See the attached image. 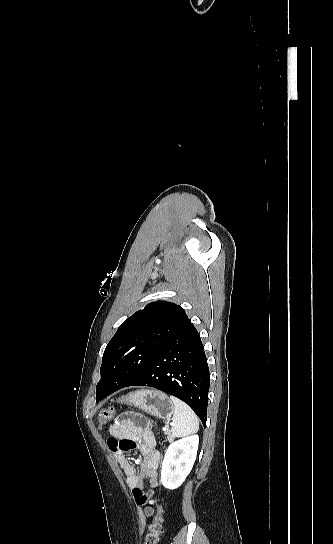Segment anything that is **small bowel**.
<instances>
[{
  "mask_svg": "<svg viewBox=\"0 0 333 544\" xmlns=\"http://www.w3.org/2000/svg\"><path fill=\"white\" fill-rule=\"evenodd\" d=\"M107 445L116 462L122 468L128 487L138 505H143L150 494L145 490V482L151 490L158 486V468L161 454L152 432L150 421L143 415L124 413L110 425ZM138 450L142 455L139 471L128 460L126 453ZM153 509L145 507L140 510V524L145 526L147 518L152 516Z\"/></svg>",
  "mask_w": 333,
  "mask_h": 544,
  "instance_id": "1",
  "label": "small bowel"
}]
</instances>
